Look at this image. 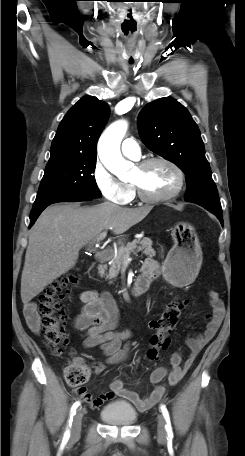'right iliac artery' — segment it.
I'll use <instances>...</instances> for the list:
<instances>
[{
    "label": "right iliac artery",
    "instance_id": "1",
    "mask_svg": "<svg viewBox=\"0 0 245 456\" xmlns=\"http://www.w3.org/2000/svg\"><path fill=\"white\" fill-rule=\"evenodd\" d=\"M79 405H80V402H79V401H76V402L72 405V407H71V410H70V417H69V421H68V427H67V429H66V431H65V433H64V438H63V439L66 440V441H67V440L69 439V437H70L69 426H70L71 423H72V418H73V416L76 414V409L79 407Z\"/></svg>",
    "mask_w": 245,
    "mask_h": 456
}]
</instances>
